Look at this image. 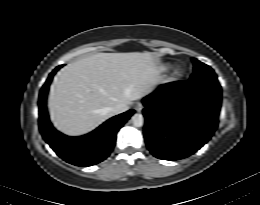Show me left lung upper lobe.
<instances>
[{
	"mask_svg": "<svg viewBox=\"0 0 260 205\" xmlns=\"http://www.w3.org/2000/svg\"><path fill=\"white\" fill-rule=\"evenodd\" d=\"M193 63L194 72L190 77L191 82L220 87L217 76L211 67L198 61L197 59H193Z\"/></svg>",
	"mask_w": 260,
	"mask_h": 205,
	"instance_id": "left-lung-upper-lobe-1",
	"label": "left lung upper lobe"
}]
</instances>
